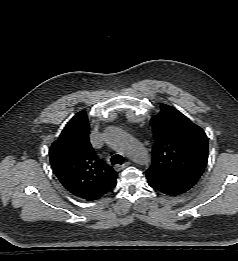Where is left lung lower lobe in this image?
<instances>
[{
  "label": "left lung lower lobe",
  "mask_w": 238,
  "mask_h": 261,
  "mask_svg": "<svg viewBox=\"0 0 238 261\" xmlns=\"http://www.w3.org/2000/svg\"><path fill=\"white\" fill-rule=\"evenodd\" d=\"M148 184H149L153 189H155V190H157V191H159V192H162V193H164V194H166V195L175 196V194H174L172 191H170L169 189H167V188L161 187V186H159V185H157V184H154V183H152V182H150V181H148Z\"/></svg>",
  "instance_id": "0a47b994"
}]
</instances>
